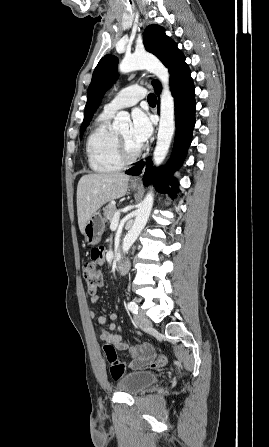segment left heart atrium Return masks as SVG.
Wrapping results in <instances>:
<instances>
[{
    "label": "left heart atrium",
    "mask_w": 269,
    "mask_h": 447,
    "mask_svg": "<svg viewBox=\"0 0 269 447\" xmlns=\"http://www.w3.org/2000/svg\"><path fill=\"white\" fill-rule=\"evenodd\" d=\"M131 138L138 145L142 146L153 131L148 115L141 109H135L132 114Z\"/></svg>",
    "instance_id": "1"
}]
</instances>
